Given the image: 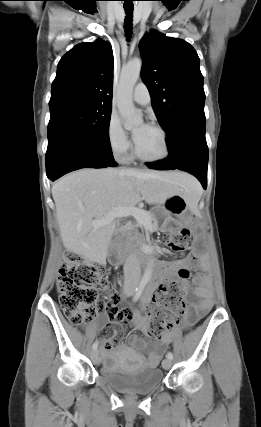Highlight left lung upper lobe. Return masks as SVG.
Returning <instances> with one entry per match:
<instances>
[{"label":"left lung upper lobe","instance_id":"1","mask_svg":"<svg viewBox=\"0 0 261 427\" xmlns=\"http://www.w3.org/2000/svg\"><path fill=\"white\" fill-rule=\"evenodd\" d=\"M140 53L142 78L165 131L185 114H204L200 59L189 43L152 31L140 42Z\"/></svg>","mask_w":261,"mask_h":427}]
</instances>
